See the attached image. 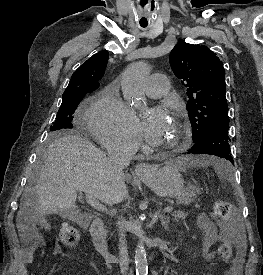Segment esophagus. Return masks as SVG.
I'll list each match as a JSON object with an SVG mask.
<instances>
[{
    "label": "esophagus",
    "mask_w": 263,
    "mask_h": 275,
    "mask_svg": "<svg viewBox=\"0 0 263 275\" xmlns=\"http://www.w3.org/2000/svg\"><path fill=\"white\" fill-rule=\"evenodd\" d=\"M152 169V166L148 163H140V164H137L136 167H135V173L137 175H145L147 174L148 172H150Z\"/></svg>",
    "instance_id": "34e87169"
}]
</instances>
